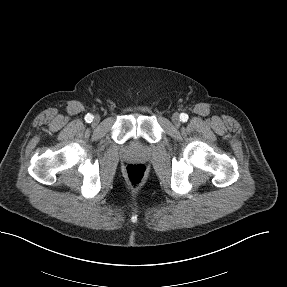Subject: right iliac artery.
<instances>
[{"instance_id":"obj_1","label":"right iliac artery","mask_w":287,"mask_h":287,"mask_svg":"<svg viewBox=\"0 0 287 287\" xmlns=\"http://www.w3.org/2000/svg\"><path fill=\"white\" fill-rule=\"evenodd\" d=\"M93 115H91V114H87L86 116H85V120H86V122H88V123H90V122H92L93 121Z\"/></svg>"}]
</instances>
